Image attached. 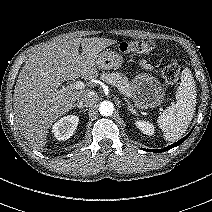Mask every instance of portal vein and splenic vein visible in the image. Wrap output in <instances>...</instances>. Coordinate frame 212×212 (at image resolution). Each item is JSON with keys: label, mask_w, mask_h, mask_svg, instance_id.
Masks as SVG:
<instances>
[{"label": "portal vein and splenic vein", "mask_w": 212, "mask_h": 212, "mask_svg": "<svg viewBox=\"0 0 212 212\" xmlns=\"http://www.w3.org/2000/svg\"><path fill=\"white\" fill-rule=\"evenodd\" d=\"M85 86H86V84L84 82H82V81H76L75 83L70 84V86L63 87L62 89L63 90H67V89H77V90H80V89H83Z\"/></svg>", "instance_id": "18ae733b"}]
</instances>
